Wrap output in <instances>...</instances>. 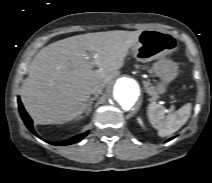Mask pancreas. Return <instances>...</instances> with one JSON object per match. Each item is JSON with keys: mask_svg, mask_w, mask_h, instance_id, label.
I'll return each mask as SVG.
<instances>
[{"mask_svg": "<svg viewBox=\"0 0 212 183\" xmlns=\"http://www.w3.org/2000/svg\"><path fill=\"white\" fill-rule=\"evenodd\" d=\"M145 88H146V90H147V92L150 94V95H152L153 97H157V94H156V92L154 91V88L152 87V86H150V84L147 82V83H145Z\"/></svg>", "mask_w": 212, "mask_h": 183, "instance_id": "obj_1", "label": "pancreas"}]
</instances>
